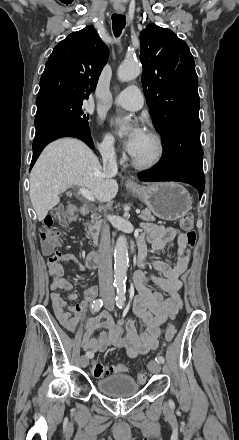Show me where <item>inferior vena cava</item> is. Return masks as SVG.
<instances>
[{"label":"inferior vena cava","instance_id":"602c4592","mask_svg":"<svg viewBox=\"0 0 239 440\" xmlns=\"http://www.w3.org/2000/svg\"><path fill=\"white\" fill-rule=\"evenodd\" d=\"M101 156L104 172L109 178H113L118 172L116 154L113 148L106 146L104 150H101ZM98 254L99 288L104 301L102 305L103 307H114L116 296H114L113 288L110 228L107 224H104L102 228Z\"/></svg>","mask_w":239,"mask_h":440}]
</instances>
